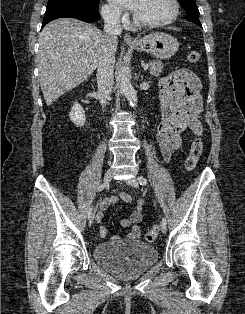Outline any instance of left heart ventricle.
<instances>
[{"mask_svg":"<svg viewBox=\"0 0 245 314\" xmlns=\"http://www.w3.org/2000/svg\"><path fill=\"white\" fill-rule=\"evenodd\" d=\"M172 13L170 0H143L136 16L146 22H154L167 18Z\"/></svg>","mask_w":245,"mask_h":314,"instance_id":"b2bd125f","label":"left heart ventricle"}]
</instances>
